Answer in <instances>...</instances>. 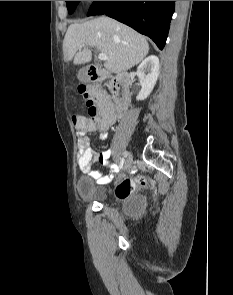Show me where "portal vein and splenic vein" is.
I'll return each instance as SVG.
<instances>
[{"label":"portal vein and splenic vein","mask_w":233,"mask_h":295,"mask_svg":"<svg viewBox=\"0 0 233 295\" xmlns=\"http://www.w3.org/2000/svg\"><path fill=\"white\" fill-rule=\"evenodd\" d=\"M98 59L102 61H108V57L104 53H99L98 54Z\"/></svg>","instance_id":"1"}]
</instances>
